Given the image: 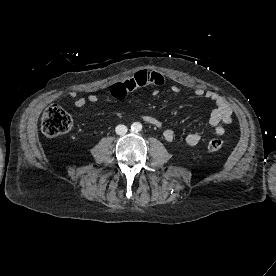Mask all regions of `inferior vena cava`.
Listing matches in <instances>:
<instances>
[{
  "mask_svg": "<svg viewBox=\"0 0 276 276\" xmlns=\"http://www.w3.org/2000/svg\"><path fill=\"white\" fill-rule=\"evenodd\" d=\"M128 131L127 127L125 125H117L116 128H115V132L118 134V135H124L126 134Z\"/></svg>",
  "mask_w": 276,
  "mask_h": 276,
  "instance_id": "obj_1",
  "label": "inferior vena cava"
}]
</instances>
